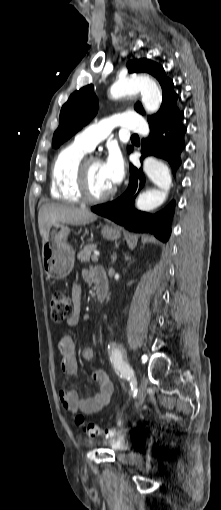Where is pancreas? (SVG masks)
I'll use <instances>...</instances> for the list:
<instances>
[{
	"mask_svg": "<svg viewBox=\"0 0 221 510\" xmlns=\"http://www.w3.org/2000/svg\"><path fill=\"white\" fill-rule=\"evenodd\" d=\"M96 250L95 244H88L86 245L78 254L77 258L81 262H88L91 257V253Z\"/></svg>",
	"mask_w": 221,
	"mask_h": 510,
	"instance_id": "pancreas-1",
	"label": "pancreas"
}]
</instances>
